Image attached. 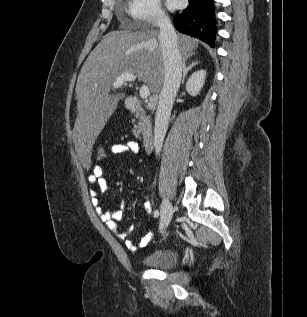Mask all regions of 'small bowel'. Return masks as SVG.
Returning a JSON list of instances; mask_svg holds the SVG:
<instances>
[{"instance_id":"small-bowel-1","label":"small bowel","mask_w":307,"mask_h":317,"mask_svg":"<svg viewBox=\"0 0 307 317\" xmlns=\"http://www.w3.org/2000/svg\"><path fill=\"white\" fill-rule=\"evenodd\" d=\"M111 152L113 154H138L140 152V146L136 141L116 143L111 146ZM88 181L92 185H97L102 193L111 192V189L109 188L106 181L105 169L99 164L93 166ZM92 197L93 205L95 206L96 212L100 219L110 227V229L117 235L119 239L126 241V246L128 249L135 251L137 249V245L132 241L127 240V233L120 231L114 223L115 221H119L123 218L125 204L122 203L118 210L106 212L99 205V199L97 198L96 191L92 192ZM152 238L153 232H150L141 240L139 245L146 246L152 240Z\"/></svg>"}]
</instances>
